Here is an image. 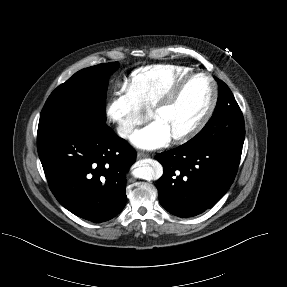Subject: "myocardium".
<instances>
[{
  "instance_id": "obj_1",
  "label": "myocardium",
  "mask_w": 287,
  "mask_h": 287,
  "mask_svg": "<svg viewBox=\"0 0 287 287\" xmlns=\"http://www.w3.org/2000/svg\"><path fill=\"white\" fill-rule=\"evenodd\" d=\"M199 76L205 77L210 82L211 99L204 113L191 127H189L183 132L172 135V139L174 141L184 142L189 140L197 133H199L203 129V127L207 124V122L210 120L218 102V87L214 78L206 72H190L187 75L180 78L178 81H176L170 87V89L158 100V102L150 108V115L154 117L160 111L171 106L178 97V95L180 94L181 90L184 88V86L190 80Z\"/></svg>"
}]
</instances>
